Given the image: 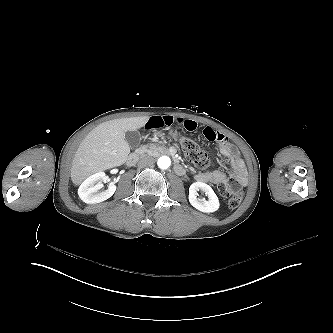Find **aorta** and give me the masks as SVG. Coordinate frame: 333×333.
I'll list each match as a JSON object with an SVG mask.
<instances>
[{
	"label": "aorta",
	"mask_w": 333,
	"mask_h": 333,
	"mask_svg": "<svg viewBox=\"0 0 333 333\" xmlns=\"http://www.w3.org/2000/svg\"><path fill=\"white\" fill-rule=\"evenodd\" d=\"M157 164H158V167H159L160 169H164V170H165V169H167V168L170 167V165H171V160H170V158L167 157V156H162V157H160V158L158 159Z\"/></svg>",
	"instance_id": "762f6f07"
}]
</instances>
